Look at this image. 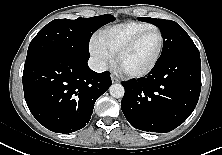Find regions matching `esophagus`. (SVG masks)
<instances>
[{
	"instance_id": "1",
	"label": "esophagus",
	"mask_w": 222,
	"mask_h": 155,
	"mask_svg": "<svg viewBox=\"0 0 222 155\" xmlns=\"http://www.w3.org/2000/svg\"><path fill=\"white\" fill-rule=\"evenodd\" d=\"M111 80H112L113 83H118L119 82V80L113 75L111 76Z\"/></svg>"
}]
</instances>
